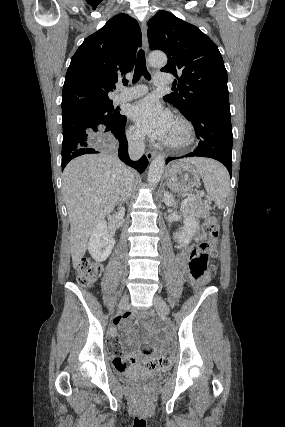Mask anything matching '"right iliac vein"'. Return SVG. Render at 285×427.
Instances as JSON below:
<instances>
[{
    "instance_id": "63e3f726",
    "label": "right iliac vein",
    "mask_w": 285,
    "mask_h": 427,
    "mask_svg": "<svg viewBox=\"0 0 285 427\" xmlns=\"http://www.w3.org/2000/svg\"><path fill=\"white\" fill-rule=\"evenodd\" d=\"M128 300H129L128 295H124L122 297V299H121V301H120V303L118 305V312H122L123 310L126 309L127 304H128Z\"/></svg>"
}]
</instances>
